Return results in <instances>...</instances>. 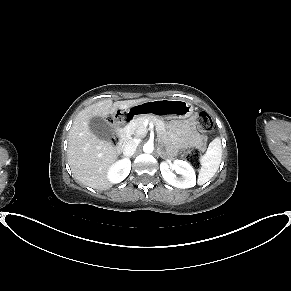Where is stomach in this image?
<instances>
[{"label":"stomach","mask_w":291,"mask_h":291,"mask_svg":"<svg viewBox=\"0 0 291 291\" xmlns=\"http://www.w3.org/2000/svg\"><path fill=\"white\" fill-rule=\"evenodd\" d=\"M131 117L154 116L157 118H191L193 106L184 100H148L128 108Z\"/></svg>","instance_id":"obj_1"}]
</instances>
